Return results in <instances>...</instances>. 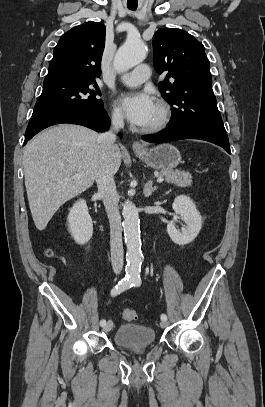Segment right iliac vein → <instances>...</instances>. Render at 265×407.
<instances>
[{"instance_id": "63e3f726", "label": "right iliac vein", "mask_w": 265, "mask_h": 407, "mask_svg": "<svg viewBox=\"0 0 265 407\" xmlns=\"http://www.w3.org/2000/svg\"><path fill=\"white\" fill-rule=\"evenodd\" d=\"M112 326H113L112 321H108V322L104 325L103 331H105V332L110 331V330L112 329Z\"/></svg>"}]
</instances>
